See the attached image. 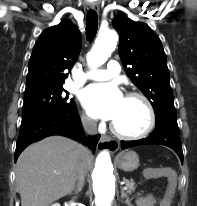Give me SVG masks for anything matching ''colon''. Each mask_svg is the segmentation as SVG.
Returning a JSON list of instances; mask_svg holds the SVG:
<instances>
[{"label":"colon","instance_id":"colon-1","mask_svg":"<svg viewBox=\"0 0 197 206\" xmlns=\"http://www.w3.org/2000/svg\"><path fill=\"white\" fill-rule=\"evenodd\" d=\"M173 192L174 187L171 185L167 190L166 197L162 200V206H170Z\"/></svg>","mask_w":197,"mask_h":206}]
</instances>
